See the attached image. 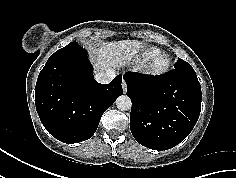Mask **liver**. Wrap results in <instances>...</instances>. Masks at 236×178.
<instances>
[{
    "instance_id": "1",
    "label": "liver",
    "mask_w": 236,
    "mask_h": 178,
    "mask_svg": "<svg viewBox=\"0 0 236 178\" xmlns=\"http://www.w3.org/2000/svg\"><path fill=\"white\" fill-rule=\"evenodd\" d=\"M141 47L137 40H121L103 43L92 50V59L95 62V71L102 72L113 66H124L131 61Z\"/></svg>"
}]
</instances>
